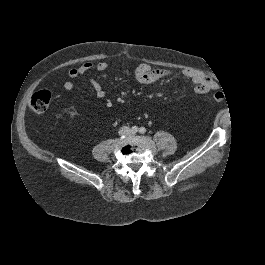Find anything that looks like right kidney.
<instances>
[{
  "label": "right kidney",
  "instance_id": "obj_1",
  "mask_svg": "<svg viewBox=\"0 0 265 265\" xmlns=\"http://www.w3.org/2000/svg\"><path fill=\"white\" fill-rule=\"evenodd\" d=\"M75 116H76V111H75L74 109H70V110H69V117H70L71 119H74Z\"/></svg>",
  "mask_w": 265,
  "mask_h": 265
}]
</instances>
